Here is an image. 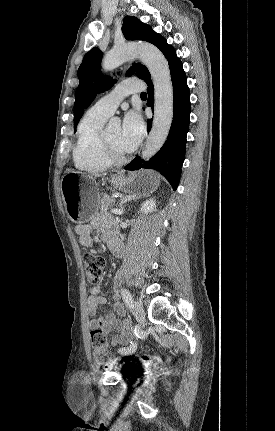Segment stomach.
I'll return each instance as SVG.
<instances>
[{
	"mask_svg": "<svg viewBox=\"0 0 275 431\" xmlns=\"http://www.w3.org/2000/svg\"><path fill=\"white\" fill-rule=\"evenodd\" d=\"M160 183L159 176L152 171H142L126 177L119 172L112 176L114 188L129 193H148ZM61 193L68 218L74 223H85L96 213L99 197L90 177L76 172L66 173L61 180Z\"/></svg>",
	"mask_w": 275,
	"mask_h": 431,
	"instance_id": "obj_1",
	"label": "stomach"
}]
</instances>
